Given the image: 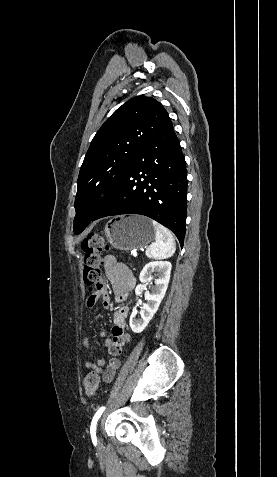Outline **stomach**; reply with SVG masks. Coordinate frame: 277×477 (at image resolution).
I'll list each match as a JSON object with an SVG mask.
<instances>
[{
	"label": "stomach",
	"instance_id": "1",
	"mask_svg": "<svg viewBox=\"0 0 277 477\" xmlns=\"http://www.w3.org/2000/svg\"><path fill=\"white\" fill-rule=\"evenodd\" d=\"M104 233L112 247L130 251L151 243L155 236V229L149 218L141 215H129L110 219L105 226Z\"/></svg>",
	"mask_w": 277,
	"mask_h": 477
}]
</instances>
